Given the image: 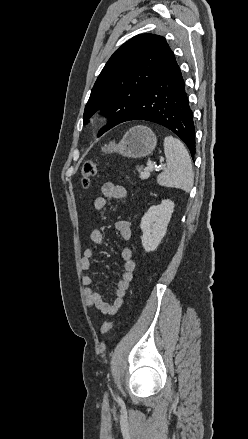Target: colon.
Returning a JSON list of instances; mask_svg holds the SVG:
<instances>
[{
    "label": "colon",
    "mask_w": 248,
    "mask_h": 439,
    "mask_svg": "<svg viewBox=\"0 0 248 439\" xmlns=\"http://www.w3.org/2000/svg\"><path fill=\"white\" fill-rule=\"evenodd\" d=\"M98 162L96 161H86L82 166V186L87 189L90 187L92 179L98 173ZM115 325L114 321H106L102 324L100 328V334H107Z\"/></svg>",
    "instance_id": "colon-1"
}]
</instances>
